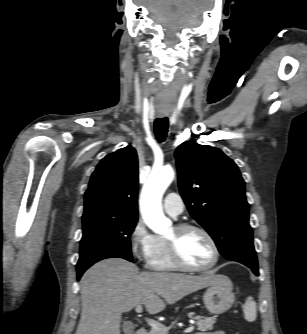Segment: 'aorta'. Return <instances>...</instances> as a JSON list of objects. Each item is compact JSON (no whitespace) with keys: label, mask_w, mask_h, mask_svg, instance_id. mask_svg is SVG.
I'll use <instances>...</instances> for the list:
<instances>
[{"label":"aorta","mask_w":307,"mask_h":334,"mask_svg":"<svg viewBox=\"0 0 307 334\" xmlns=\"http://www.w3.org/2000/svg\"><path fill=\"white\" fill-rule=\"evenodd\" d=\"M174 179L171 167L154 169L148 177L140 196V211L146 225L157 234H167L171 221L162 210V196Z\"/></svg>","instance_id":"aorta-1"}]
</instances>
